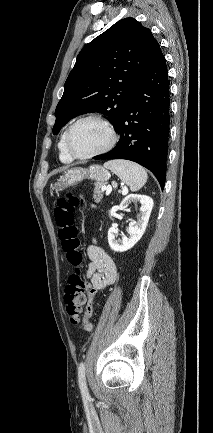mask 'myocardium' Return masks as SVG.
<instances>
[{"instance_id": "myocardium-1", "label": "myocardium", "mask_w": 213, "mask_h": 433, "mask_svg": "<svg viewBox=\"0 0 213 433\" xmlns=\"http://www.w3.org/2000/svg\"><path fill=\"white\" fill-rule=\"evenodd\" d=\"M88 120H93V121H96V122L100 123L101 125H103L108 132L109 140H108L107 144L103 148H101L100 150L93 152L91 154H87V155H79V154L74 152V150L71 146V135H72V132L77 125H79L80 123H82L84 121H88ZM117 140H118V136H117L116 130L114 129L113 125L107 119H105L103 116L98 115V114H88V115H85V116L78 118L67 129L66 136H65V145H66V149H67L69 155L72 158L78 159V160H87V159H91V158L100 156V155L110 151L115 146V144L117 143Z\"/></svg>"}]
</instances>
